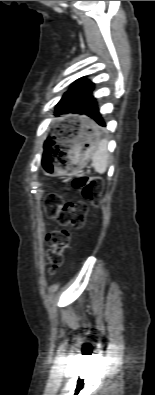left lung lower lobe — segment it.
I'll return each mask as SVG.
<instances>
[{
    "label": "left lung lower lobe",
    "mask_w": 155,
    "mask_h": 395,
    "mask_svg": "<svg viewBox=\"0 0 155 395\" xmlns=\"http://www.w3.org/2000/svg\"><path fill=\"white\" fill-rule=\"evenodd\" d=\"M81 112L83 115L94 119L100 126H105V122L103 121L101 114L99 113L95 98L92 95H89L86 99V102ZM94 127L96 126L94 125Z\"/></svg>",
    "instance_id": "0a47b994"
}]
</instances>
